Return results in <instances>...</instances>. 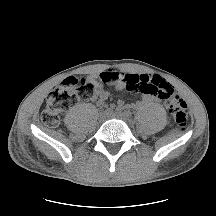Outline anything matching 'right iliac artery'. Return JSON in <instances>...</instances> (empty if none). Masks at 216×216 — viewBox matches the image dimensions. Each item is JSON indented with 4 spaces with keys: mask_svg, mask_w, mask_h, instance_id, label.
Listing matches in <instances>:
<instances>
[{
    "mask_svg": "<svg viewBox=\"0 0 216 216\" xmlns=\"http://www.w3.org/2000/svg\"><path fill=\"white\" fill-rule=\"evenodd\" d=\"M113 111H114L113 108H108V109H106L105 112H106L107 114H112Z\"/></svg>",
    "mask_w": 216,
    "mask_h": 216,
    "instance_id": "obj_1",
    "label": "right iliac artery"
}]
</instances>
